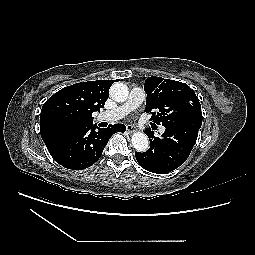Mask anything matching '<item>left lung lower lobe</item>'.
Wrapping results in <instances>:
<instances>
[{
    "label": "left lung lower lobe",
    "instance_id": "obj_1",
    "mask_svg": "<svg viewBox=\"0 0 255 255\" xmlns=\"http://www.w3.org/2000/svg\"><path fill=\"white\" fill-rule=\"evenodd\" d=\"M202 120L165 125L162 138L155 137L147 130L150 149L147 152H136L135 156L142 168L156 174L169 173L189 157L196 143Z\"/></svg>",
    "mask_w": 255,
    "mask_h": 255
}]
</instances>
